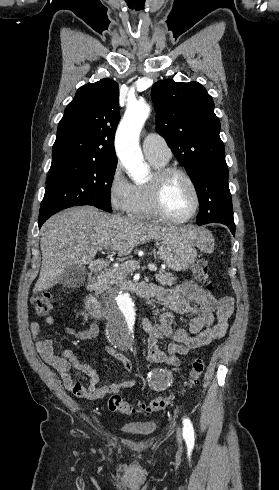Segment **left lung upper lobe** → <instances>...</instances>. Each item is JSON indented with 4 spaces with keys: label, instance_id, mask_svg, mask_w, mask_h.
<instances>
[{
    "label": "left lung upper lobe",
    "instance_id": "1",
    "mask_svg": "<svg viewBox=\"0 0 279 490\" xmlns=\"http://www.w3.org/2000/svg\"><path fill=\"white\" fill-rule=\"evenodd\" d=\"M151 97L156 130L185 167L200 203L197 224H234L225 148L212 97L199 83L162 80Z\"/></svg>",
    "mask_w": 279,
    "mask_h": 490
}]
</instances>
